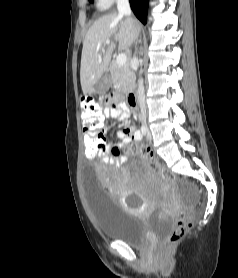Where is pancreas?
Wrapping results in <instances>:
<instances>
[{
    "instance_id": "cf45deb5",
    "label": "pancreas",
    "mask_w": 238,
    "mask_h": 278,
    "mask_svg": "<svg viewBox=\"0 0 238 278\" xmlns=\"http://www.w3.org/2000/svg\"><path fill=\"white\" fill-rule=\"evenodd\" d=\"M112 81L122 93L130 92L135 87V74L128 63L119 66L115 61L110 66Z\"/></svg>"
}]
</instances>
